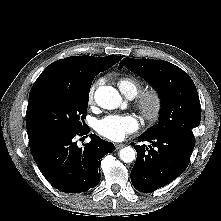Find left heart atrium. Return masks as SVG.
<instances>
[{
	"instance_id": "obj_1",
	"label": "left heart atrium",
	"mask_w": 221,
	"mask_h": 221,
	"mask_svg": "<svg viewBox=\"0 0 221 221\" xmlns=\"http://www.w3.org/2000/svg\"><path fill=\"white\" fill-rule=\"evenodd\" d=\"M139 128L138 119L131 114L108 115L97 122V132L112 141H121Z\"/></svg>"
}]
</instances>
